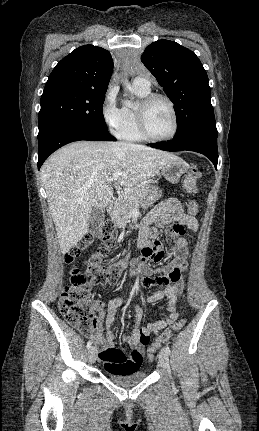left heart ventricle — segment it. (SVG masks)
Listing matches in <instances>:
<instances>
[{"mask_svg":"<svg viewBox=\"0 0 259 431\" xmlns=\"http://www.w3.org/2000/svg\"><path fill=\"white\" fill-rule=\"evenodd\" d=\"M147 126L155 137L167 136L173 127V117L169 106L163 100L154 101L147 110Z\"/></svg>","mask_w":259,"mask_h":431,"instance_id":"1","label":"left heart ventricle"}]
</instances>
